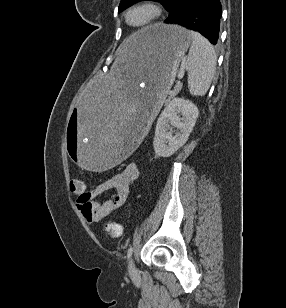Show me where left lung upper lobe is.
Segmentation results:
<instances>
[{
  "label": "left lung upper lobe",
  "instance_id": "5c2ea615",
  "mask_svg": "<svg viewBox=\"0 0 286 308\" xmlns=\"http://www.w3.org/2000/svg\"><path fill=\"white\" fill-rule=\"evenodd\" d=\"M139 1H142V0H121L119 4L118 12L119 13L122 12L124 9L128 8L132 4L139 2ZM152 1L160 2L164 6V8L168 10L173 0H152Z\"/></svg>",
  "mask_w": 286,
  "mask_h": 308
}]
</instances>
